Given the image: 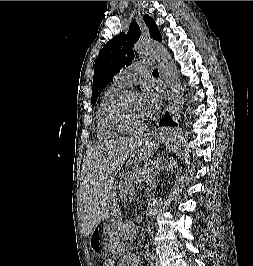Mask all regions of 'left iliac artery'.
Returning a JSON list of instances; mask_svg holds the SVG:
<instances>
[{
    "mask_svg": "<svg viewBox=\"0 0 253 266\" xmlns=\"http://www.w3.org/2000/svg\"><path fill=\"white\" fill-rule=\"evenodd\" d=\"M150 257L152 260L157 261V257L153 252L150 253Z\"/></svg>",
    "mask_w": 253,
    "mask_h": 266,
    "instance_id": "1",
    "label": "left iliac artery"
}]
</instances>
